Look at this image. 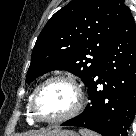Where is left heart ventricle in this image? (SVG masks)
Returning a JSON list of instances; mask_svg holds the SVG:
<instances>
[{
  "label": "left heart ventricle",
  "mask_w": 136,
  "mask_h": 136,
  "mask_svg": "<svg viewBox=\"0 0 136 136\" xmlns=\"http://www.w3.org/2000/svg\"><path fill=\"white\" fill-rule=\"evenodd\" d=\"M73 89L63 82L48 84L38 95L36 112L42 118H57L66 114L74 105Z\"/></svg>",
  "instance_id": "left-heart-ventricle-1"
}]
</instances>
